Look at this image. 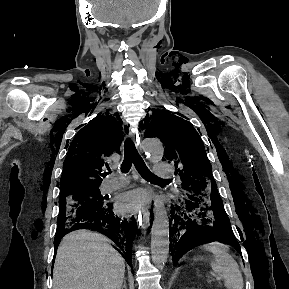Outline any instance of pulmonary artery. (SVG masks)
I'll return each mask as SVG.
<instances>
[{"mask_svg": "<svg viewBox=\"0 0 289 289\" xmlns=\"http://www.w3.org/2000/svg\"><path fill=\"white\" fill-rule=\"evenodd\" d=\"M155 171L161 178H171L174 174L172 165L168 162H158ZM127 183L128 181L126 178L113 176L103 184V190L105 192H111L124 187Z\"/></svg>", "mask_w": 289, "mask_h": 289, "instance_id": "e3ab8cb5", "label": "pulmonary artery"}]
</instances>
